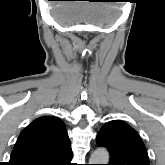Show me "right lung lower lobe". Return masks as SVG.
Wrapping results in <instances>:
<instances>
[{
	"mask_svg": "<svg viewBox=\"0 0 165 165\" xmlns=\"http://www.w3.org/2000/svg\"><path fill=\"white\" fill-rule=\"evenodd\" d=\"M72 151L70 148V143L65 144L62 146L60 151L54 155L50 160L46 161L41 165H72Z\"/></svg>",
	"mask_w": 165,
	"mask_h": 165,
	"instance_id": "obj_1",
	"label": "right lung lower lobe"
}]
</instances>
